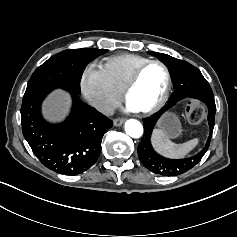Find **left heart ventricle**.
<instances>
[{
	"label": "left heart ventricle",
	"mask_w": 237,
	"mask_h": 237,
	"mask_svg": "<svg viewBox=\"0 0 237 237\" xmlns=\"http://www.w3.org/2000/svg\"><path fill=\"white\" fill-rule=\"evenodd\" d=\"M166 76L159 65H151L142 73L137 85L129 94L127 104L134 111H144L153 107L162 97Z\"/></svg>",
	"instance_id": "1"
}]
</instances>
